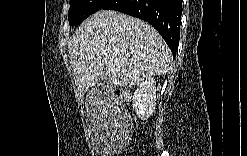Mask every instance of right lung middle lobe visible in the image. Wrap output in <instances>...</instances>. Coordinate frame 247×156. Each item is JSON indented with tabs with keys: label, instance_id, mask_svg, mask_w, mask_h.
Returning <instances> with one entry per match:
<instances>
[{
	"label": "right lung middle lobe",
	"instance_id": "1",
	"mask_svg": "<svg viewBox=\"0 0 247 156\" xmlns=\"http://www.w3.org/2000/svg\"><path fill=\"white\" fill-rule=\"evenodd\" d=\"M108 0H70L68 20L71 26L80 24L88 16L100 10Z\"/></svg>",
	"mask_w": 247,
	"mask_h": 156
}]
</instances>
